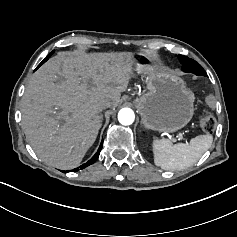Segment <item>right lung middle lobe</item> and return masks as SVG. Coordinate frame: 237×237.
<instances>
[{"label":"right lung middle lobe","instance_id":"obj_1","mask_svg":"<svg viewBox=\"0 0 237 237\" xmlns=\"http://www.w3.org/2000/svg\"><path fill=\"white\" fill-rule=\"evenodd\" d=\"M54 53V51H52L43 61H42V63L40 64V65H42L44 62H46L47 60H48V58L52 55ZM39 65V66H40ZM38 66V67H39Z\"/></svg>","mask_w":237,"mask_h":237}]
</instances>
